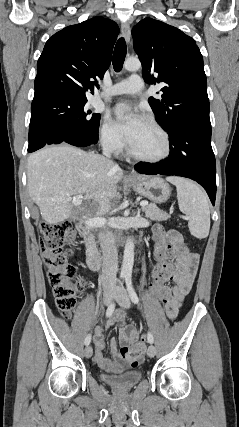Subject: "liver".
Segmentation results:
<instances>
[{
    "mask_svg": "<svg viewBox=\"0 0 239 427\" xmlns=\"http://www.w3.org/2000/svg\"><path fill=\"white\" fill-rule=\"evenodd\" d=\"M122 177L112 160L65 144L45 147L27 162L29 196L49 224L105 215ZM72 196L94 200L95 211L81 207L82 199L74 204Z\"/></svg>",
    "mask_w": 239,
    "mask_h": 427,
    "instance_id": "1",
    "label": "liver"
}]
</instances>
